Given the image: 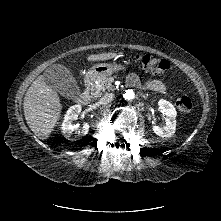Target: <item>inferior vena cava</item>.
I'll return each instance as SVG.
<instances>
[{
	"instance_id": "obj_1",
	"label": "inferior vena cava",
	"mask_w": 221,
	"mask_h": 221,
	"mask_svg": "<svg viewBox=\"0 0 221 221\" xmlns=\"http://www.w3.org/2000/svg\"><path fill=\"white\" fill-rule=\"evenodd\" d=\"M114 99V94L113 93H107L105 94L101 99H100V103L101 104H108L111 101H113Z\"/></svg>"
}]
</instances>
